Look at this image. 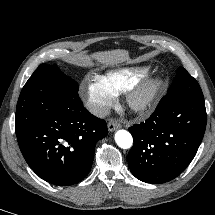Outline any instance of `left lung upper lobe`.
Wrapping results in <instances>:
<instances>
[{
	"mask_svg": "<svg viewBox=\"0 0 215 215\" xmlns=\"http://www.w3.org/2000/svg\"><path fill=\"white\" fill-rule=\"evenodd\" d=\"M168 93L204 98L198 82L182 67L177 69V75Z\"/></svg>",
	"mask_w": 215,
	"mask_h": 215,
	"instance_id": "5c2ea615",
	"label": "left lung upper lobe"
}]
</instances>
